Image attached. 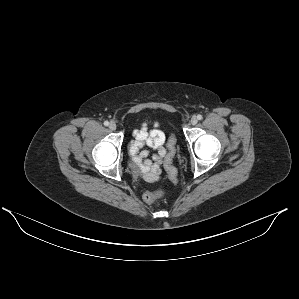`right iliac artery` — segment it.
<instances>
[{"label":"right iliac artery","mask_w":299,"mask_h":299,"mask_svg":"<svg viewBox=\"0 0 299 299\" xmlns=\"http://www.w3.org/2000/svg\"><path fill=\"white\" fill-rule=\"evenodd\" d=\"M104 125H105V126H108V125H109V122H108V121H105V122H104Z\"/></svg>","instance_id":"right-iliac-artery-1"}]
</instances>
